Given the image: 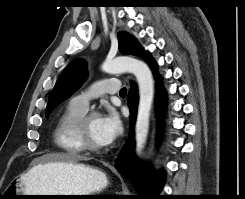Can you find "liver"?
I'll use <instances>...</instances> for the list:
<instances>
[{"instance_id": "6515ba94", "label": "liver", "mask_w": 245, "mask_h": 199, "mask_svg": "<svg viewBox=\"0 0 245 199\" xmlns=\"http://www.w3.org/2000/svg\"><path fill=\"white\" fill-rule=\"evenodd\" d=\"M87 159L88 158L85 156L75 155V154H63V153L50 154V155L42 157L40 160V163L37 166H34L32 169L38 166H41V165L46 166V165L75 163V162L87 160ZM52 173L55 174V173H58V171L54 170L52 171Z\"/></svg>"}]
</instances>
